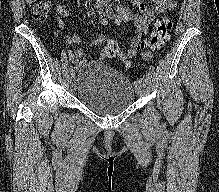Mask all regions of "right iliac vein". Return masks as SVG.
I'll return each mask as SVG.
<instances>
[{
    "instance_id": "right-iliac-vein-1",
    "label": "right iliac vein",
    "mask_w": 219,
    "mask_h": 192,
    "mask_svg": "<svg viewBox=\"0 0 219 192\" xmlns=\"http://www.w3.org/2000/svg\"><path fill=\"white\" fill-rule=\"evenodd\" d=\"M69 79H70V82H71V83L74 82V79H75V73H74V72H71V73H70Z\"/></svg>"
}]
</instances>
